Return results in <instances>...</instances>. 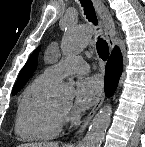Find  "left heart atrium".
<instances>
[{"mask_svg":"<svg viewBox=\"0 0 145 147\" xmlns=\"http://www.w3.org/2000/svg\"><path fill=\"white\" fill-rule=\"evenodd\" d=\"M102 93V81L97 76L85 77L76 86V100L74 110L82 112L90 108Z\"/></svg>","mask_w":145,"mask_h":147,"instance_id":"39dd6f15","label":"left heart atrium"}]
</instances>
